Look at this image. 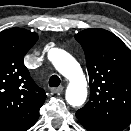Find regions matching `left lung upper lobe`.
I'll use <instances>...</instances> for the list:
<instances>
[{"mask_svg":"<svg viewBox=\"0 0 131 131\" xmlns=\"http://www.w3.org/2000/svg\"><path fill=\"white\" fill-rule=\"evenodd\" d=\"M75 39L90 81L89 101L76 117L88 131H122L131 123V50L104 29H85Z\"/></svg>","mask_w":131,"mask_h":131,"instance_id":"1","label":"left lung upper lobe"}]
</instances>
